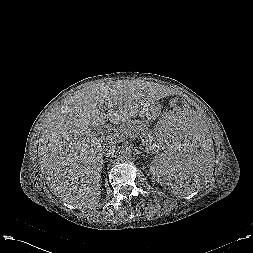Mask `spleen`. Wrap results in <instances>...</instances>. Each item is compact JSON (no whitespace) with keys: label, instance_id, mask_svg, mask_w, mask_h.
Here are the masks:
<instances>
[{"label":"spleen","instance_id":"1","mask_svg":"<svg viewBox=\"0 0 253 253\" xmlns=\"http://www.w3.org/2000/svg\"><path fill=\"white\" fill-rule=\"evenodd\" d=\"M151 133V170L160 185L185 197L208 182L211 140L196 104H173L154 121Z\"/></svg>","mask_w":253,"mask_h":253}]
</instances>
